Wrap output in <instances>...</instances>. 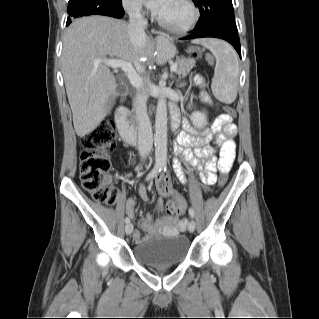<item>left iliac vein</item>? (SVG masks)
I'll return each mask as SVG.
<instances>
[{"instance_id":"4c4485c4","label":"left iliac vein","mask_w":319,"mask_h":319,"mask_svg":"<svg viewBox=\"0 0 319 319\" xmlns=\"http://www.w3.org/2000/svg\"><path fill=\"white\" fill-rule=\"evenodd\" d=\"M195 226H196L195 221H194V220H190V222H189V224H188V230H189V232H191V233L194 232Z\"/></svg>"}]
</instances>
